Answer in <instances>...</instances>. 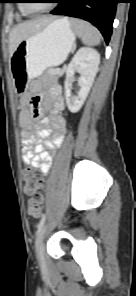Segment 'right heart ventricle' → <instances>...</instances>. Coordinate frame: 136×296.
<instances>
[{
	"label": "right heart ventricle",
	"mask_w": 136,
	"mask_h": 296,
	"mask_svg": "<svg viewBox=\"0 0 136 296\" xmlns=\"http://www.w3.org/2000/svg\"><path fill=\"white\" fill-rule=\"evenodd\" d=\"M21 13L24 15V16H30L31 15V12L27 11L24 4H21L20 7H19Z\"/></svg>",
	"instance_id": "right-heart-ventricle-1"
}]
</instances>
